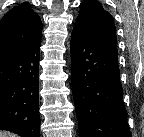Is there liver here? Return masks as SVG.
<instances>
[{
  "mask_svg": "<svg viewBox=\"0 0 144 137\" xmlns=\"http://www.w3.org/2000/svg\"><path fill=\"white\" fill-rule=\"evenodd\" d=\"M0 137H16L15 134L11 133V132H6V131H0Z\"/></svg>",
  "mask_w": 144,
  "mask_h": 137,
  "instance_id": "liver-1",
  "label": "liver"
}]
</instances>
